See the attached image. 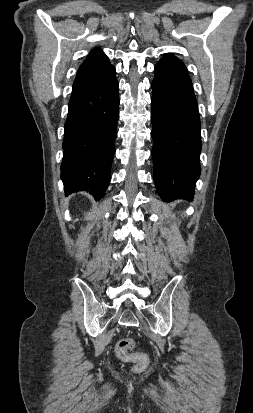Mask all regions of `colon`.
<instances>
[{"label":"colon","mask_w":253,"mask_h":413,"mask_svg":"<svg viewBox=\"0 0 253 413\" xmlns=\"http://www.w3.org/2000/svg\"><path fill=\"white\" fill-rule=\"evenodd\" d=\"M135 347L133 338L121 339L116 345V355L125 362H134V371L140 372L148 365V357L141 352H132Z\"/></svg>","instance_id":"colon-1"}]
</instances>
